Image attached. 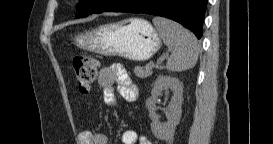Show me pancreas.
I'll use <instances>...</instances> for the list:
<instances>
[{
	"instance_id": "pancreas-1",
	"label": "pancreas",
	"mask_w": 273,
	"mask_h": 144,
	"mask_svg": "<svg viewBox=\"0 0 273 144\" xmlns=\"http://www.w3.org/2000/svg\"><path fill=\"white\" fill-rule=\"evenodd\" d=\"M133 71L135 75L139 78H147L152 74L151 69L146 67L142 68V67L136 66Z\"/></svg>"
}]
</instances>
